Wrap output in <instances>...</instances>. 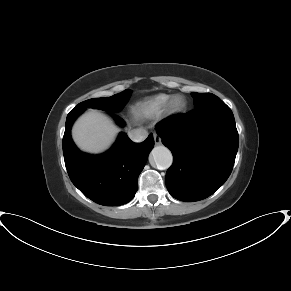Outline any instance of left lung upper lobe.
<instances>
[{"label":"left lung upper lobe","instance_id":"left-lung-upper-lobe-1","mask_svg":"<svg viewBox=\"0 0 291 291\" xmlns=\"http://www.w3.org/2000/svg\"><path fill=\"white\" fill-rule=\"evenodd\" d=\"M191 95L194 98L195 109L205 107L220 100L219 97L211 93H191Z\"/></svg>","mask_w":291,"mask_h":291}]
</instances>
